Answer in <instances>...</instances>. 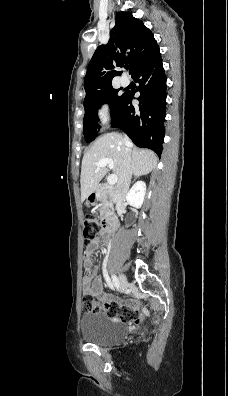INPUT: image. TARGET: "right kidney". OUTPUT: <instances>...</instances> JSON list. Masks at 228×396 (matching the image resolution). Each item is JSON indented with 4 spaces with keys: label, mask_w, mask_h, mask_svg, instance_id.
I'll use <instances>...</instances> for the list:
<instances>
[{
    "label": "right kidney",
    "mask_w": 228,
    "mask_h": 396,
    "mask_svg": "<svg viewBox=\"0 0 228 396\" xmlns=\"http://www.w3.org/2000/svg\"><path fill=\"white\" fill-rule=\"evenodd\" d=\"M146 193V184L144 181L136 182L129 190L126 200L127 203L135 208H141Z\"/></svg>",
    "instance_id": "1"
}]
</instances>
